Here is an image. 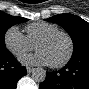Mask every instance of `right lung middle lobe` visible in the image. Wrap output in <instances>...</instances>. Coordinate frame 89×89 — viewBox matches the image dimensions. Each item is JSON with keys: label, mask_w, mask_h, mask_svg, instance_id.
<instances>
[{"label": "right lung middle lobe", "mask_w": 89, "mask_h": 89, "mask_svg": "<svg viewBox=\"0 0 89 89\" xmlns=\"http://www.w3.org/2000/svg\"><path fill=\"white\" fill-rule=\"evenodd\" d=\"M28 21L26 18L22 17H14L4 12H0V53L7 51L5 43H4V36L6 31L13 25Z\"/></svg>", "instance_id": "right-lung-middle-lobe-1"}]
</instances>
